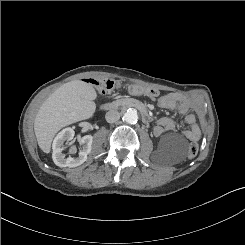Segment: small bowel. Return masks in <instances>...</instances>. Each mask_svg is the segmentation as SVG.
Wrapping results in <instances>:
<instances>
[{"mask_svg": "<svg viewBox=\"0 0 245 245\" xmlns=\"http://www.w3.org/2000/svg\"><path fill=\"white\" fill-rule=\"evenodd\" d=\"M158 106L166 110H176L184 116L185 122L189 128L184 132V135L190 141H198L201 137V130L196 123V117L191 111L188 102L177 93H168L157 99ZM176 123L173 119L163 117L158 119L156 126L153 129L155 136H161L166 132L174 130Z\"/></svg>", "mask_w": 245, "mask_h": 245, "instance_id": "c3829d8e", "label": "small bowel"}]
</instances>
